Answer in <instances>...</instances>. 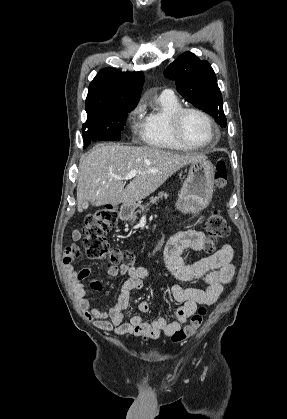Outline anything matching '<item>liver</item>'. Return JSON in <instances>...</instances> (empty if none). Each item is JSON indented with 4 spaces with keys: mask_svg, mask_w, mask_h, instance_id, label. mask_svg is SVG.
<instances>
[{
    "mask_svg": "<svg viewBox=\"0 0 287 419\" xmlns=\"http://www.w3.org/2000/svg\"><path fill=\"white\" fill-rule=\"evenodd\" d=\"M205 159L202 154H178L150 146L97 144L80 159L78 211L82 212L85 202L96 207L136 204L155 192L180 168ZM131 170L145 174H137L125 187L123 180L116 177H124Z\"/></svg>",
    "mask_w": 287,
    "mask_h": 419,
    "instance_id": "6515ba94",
    "label": "liver"
}]
</instances>
